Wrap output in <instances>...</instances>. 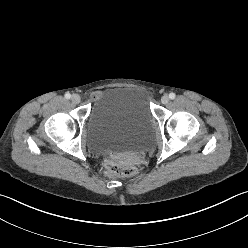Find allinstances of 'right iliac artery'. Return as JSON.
I'll return each mask as SVG.
<instances>
[{
    "label": "right iliac artery",
    "mask_w": 248,
    "mask_h": 248,
    "mask_svg": "<svg viewBox=\"0 0 248 248\" xmlns=\"http://www.w3.org/2000/svg\"><path fill=\"white\" fill-rule=\"evenodd\" d=\"M65 98H66V99H70V98H71V94H70V93H66V94H65Z\"/></svg>",
    "instance_id": "82829eb1"
}]
</instances>
